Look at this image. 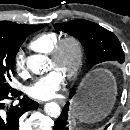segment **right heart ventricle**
<instances>
[{"instance_id": "1", "label": "right heart ventricle", "mask_w": 130, "mask_h": 130, "mask_svg": "<svg viewBox=\"0 0 130 130\" xmlns=\"http://www.w3.org/2000/svg\"><path fill=\"white\" fill-rule=\"evenodd\" d=\"M59 39L60 36L56 32L53 31L42 32L36 35L30 41L29 45L33 50L37 52L49 54Z\"/></svg>"}]
</instances>
